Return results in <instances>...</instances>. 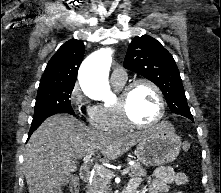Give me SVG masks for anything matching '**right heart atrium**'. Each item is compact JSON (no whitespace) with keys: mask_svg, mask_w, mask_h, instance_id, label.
I'll return each mask as SVG.
<instances>
[{"mask_svg":"<svg viewBox=\"0 0 221 193\" xmlns=\"http://www.w3.org/2000/svg\"><path fill=\"white\" fill-rule=\"evenodd\" d=\"M68 99L70 105L76 110L85 113L88 117L91 116L94 106L85 99L78 84L73 86L69 93Z\"/></svg>","mask_w":221,"mask_h":193,"instance_id":"right-heart-atrium-1","label":"right heart atrium"}]
</instances>
